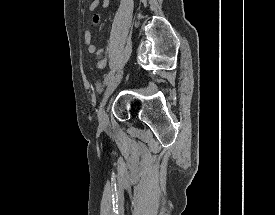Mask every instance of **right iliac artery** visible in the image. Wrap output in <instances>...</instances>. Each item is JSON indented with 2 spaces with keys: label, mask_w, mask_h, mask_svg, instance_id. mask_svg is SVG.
Listing matches in <instances>:
<instances>
[{
  "label": "right iliac artery",
  "mask_w": 275,
  "mask_h": 215,
  "mask_svg": "<svg viewBox=\"0 0 275 215\" xmlns=\"http://www.w3.org/2000/svg\"><path fill=\"white\" fill-rule=\"evenodd\" d=\"M114 71H115V68H113V69L107 74V76H106V78H105V83H106V84L108 83V81H109L110 78L112 77Z\"/></svg>",
  "instance_id": "obj_1"
}]
</instances>
